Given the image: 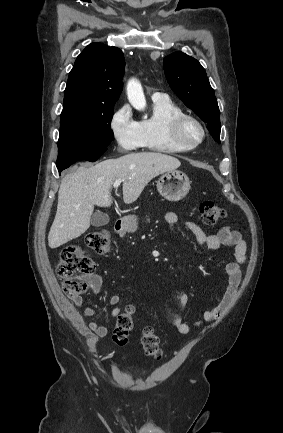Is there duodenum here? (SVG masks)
<instances>
[{"label":"duodenum","mask_w":283,"mask_h":433,"mask_svg":"<svg viewBox=\"0 0 283 433\" xmlns=\"http://www.w3.org/2000/svg\"><path fill=\"white\" fill-rule=\"evenodd\" d=\"M126 228H127V224L123 220H118L115 224V229L119 234H123Z\"/></svg>","instance_id":"1"}]
</instances>
